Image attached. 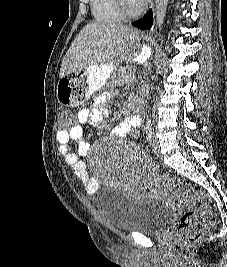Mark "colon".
Masks as SVG:
<instances>
[{
  "label": "colon",
  "instance_id": "colon-1",
  "mask_svg": "<svg viewBox=\"0 0 227 267\" xmlns=\"http://www.w3.org/2000/svg\"><path fill=\"white\" fill-rule=\"evenodd\" d=\"M70 119H73V110H62V125H59V130H70ZM163 183L182 204L189 206L181 215L173 236L174 249L180 252L186 244L212 229L216 218L206 194L184 179L167 176Z\"/></svg>",
  "mask_w": 227,
  "mask_h": 267
}]
</instances>
